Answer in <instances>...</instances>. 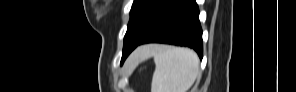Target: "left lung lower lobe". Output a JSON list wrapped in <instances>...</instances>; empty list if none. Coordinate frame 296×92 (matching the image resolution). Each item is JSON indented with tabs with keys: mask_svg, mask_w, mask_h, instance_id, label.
<instances>
[{
	"mask_svg": "<svg viewBox=\"0 0 296 92\" xmlns=\"http://www.w3.org/2000/svg\"><path fill=\"white\" fill-rule=\"evenodd\" d=\"M151 42L188 46L202 58V29L196 1L170 0L147 35L124 53L122 62L138 45Z\"/></svg>",
	"mask_w": 296,
	"mask_h": 92,
	"instance_id": "0a47b994",
	"label": "left lung lower lobe"
}]
</instances>
